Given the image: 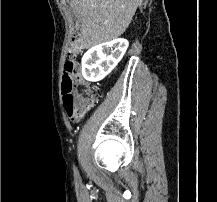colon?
<instances>
[{
    "label": "colon",
    "mask_w": 217,
    "mask_h": 202,
    "mask_svg": "<svg viewBox=\"0 0 217 202\" xmlns=\"http://www.w3.org/2000/svg\"><path fill=\"white\" fill-rule=\"evenodd\" d=\"M74 41H85V36H74ZM77 48L69 47L66 55L67 67L63 68L62 80L63 87V102L66 111V117L71 119H82L81 112L90 111V107L97 103V93H92L96 90L95 86H87V80H78L82 72L81 68L85 67L84 63H80V59H75Z\"/></svg>",
    "instance_id": "5ec220e1"
}]
</instances>
